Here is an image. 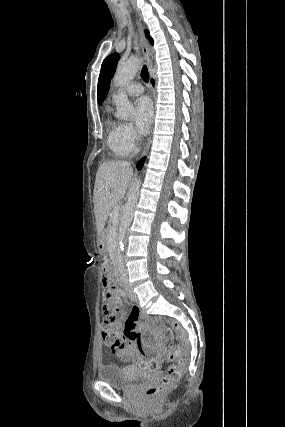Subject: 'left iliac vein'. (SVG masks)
<instances>
[{
  "label": "left iliac vein",
  "instance_id": "left-iliac-vein-1",
  "mask_svg": "<svg viewBox=\"0 0 285 427\" xmlns=\"http://www.w3.org/2000/svg\"><path fill=\"white\" fill-rule=\"evenodd\" d=\"M125 291H126L127 295L129 296L131 301H133V302L138 301V297H137L136 293L133 291L132 287H130L129 285H125Z\"/></svg>",
  "mask_w": 285,
  "mask_h": 427
}]
</instances>
